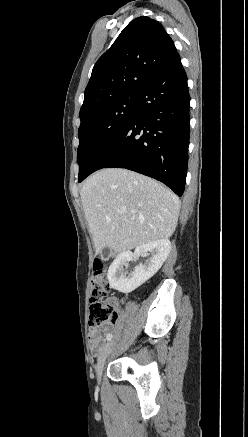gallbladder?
I'll use <instances>...</instances> for the list:
<instances>
[{"label":"gallbladder","instance_id":"1","mask_svg":"<svg viewBox=\"0 0 248 437\" xmlns=\"http://www.w3.org/2000/svg\"><path fill=\"white\" fill-rule=\"evenodd\" d=\"M110 255H111V251H110V249H109L108 247H105V248L101 251V254H100V256H101L102 259H107V258L110 257Z\"/></svg>","mask_w":248,"mask_h":437}]
</instances>
